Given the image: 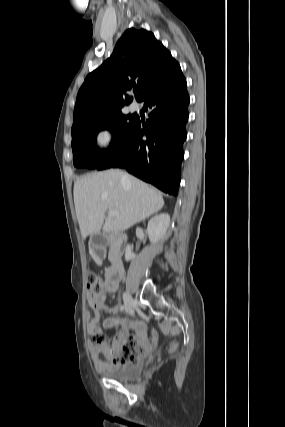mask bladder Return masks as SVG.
Here are the masks:
<instances>
[{
  "label": "bladder",
  "mask_w": 285,
  "mask_h": 427,
  "mask_svg": "<svg viewBox=\"0 0 285 427\" xmlns=\"http://www.w3.org/2000/svg\"><path fill=\"white\" fill-rule=\"evenodd\" d=\"M143 365L140 362L129 363L120 367H112L104 374L113 380L128 381L139 377L142 373Z\"/></svg>",
  "instance_id": "bladder-1"
}]
</instances>
